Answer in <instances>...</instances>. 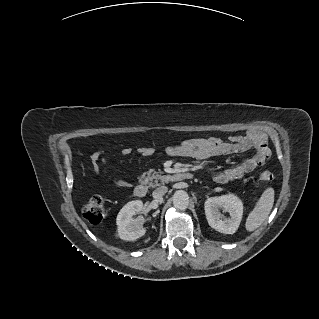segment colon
Returning <instances> with one entry per match:
<instances>
[{
	"label": "colon",
	"instance_id": "5ec220e1",
	"mask_svg": "<svg viewBox=\"0 0 319 319\" xmlns=\"http://www.w3.org/2000/svg\"><path fill=\"white\" fill-rule=\"evenodd\" d=\"M265 155L268 157L270 155V151L268 148L265 150ZM260 178L263 181H271L273 180V174L266 170L260 173ZM83 216L86 220H88L92 224H98L102 221L105 214L104 200L101 196L95 195L89 199V201L84 205Z\"/></svg>",
	"mask_w": 319,
	"mask_h": 319
}]
</instances>
